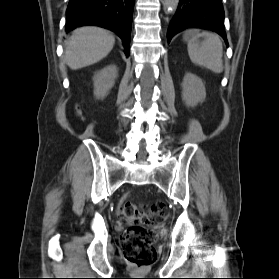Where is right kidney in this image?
Returning <instances> with one entry per match:
<instances>
[{
  "instance_id": "obj_1",
  "label": "right kidney",
  "mask_w": 279,
  "mask_h": 279,
  "mask_svg": "<svg viewBox=\"0 0 279 279\" xmlns=\"http://www.w3.org/2000/svg\"><path fill=\"white\" fill-rule=\"evenodd\" d=\"M117 76L118 71L115 65L107 66L94 75V95L96 98L103 99L108 95L115 84Z\"/></svg>"
}]
</instances>
